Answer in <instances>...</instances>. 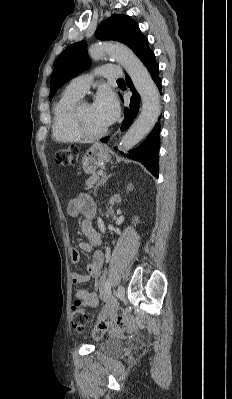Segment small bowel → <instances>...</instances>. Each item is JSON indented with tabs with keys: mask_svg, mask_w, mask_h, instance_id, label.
<instances>
[{
	"mask_svg": "<svg viewBox=\"0 0 232 399\" xmlns=\"http://www.w3.org/2000/svg\"><path fill=\"white\" fill-rule=\"evenodd\" d=\"M69 209L73 214L83 213L87 218H89L96 212L97 206L89 194L82 193L70 202ZM79 228L80 231L86 236V240L79 243L80 249L88 250L91 247L100 245L103 242L102 237L95 232L88 219L83 220L80 223ZM69 260L72 263H78L80 261V254L76 249H70ZM102 263V254L100 252H95L92 255V259L87 267L89 275L94 278L99 277L101 274ZM86 280L87 276L82 273H74L71 277L72 284H82ZM73 296L75 299L79 300L83 306H87L92 309L98 307V299L94 292L87 291L84 288H75L73 290Z\"/></svg>",
	"mask_w": 232,
	"mask_h": 399,
	"instance_id": "obj_1",
	"label": "small bowel"
}]
</instances>
